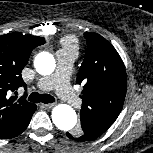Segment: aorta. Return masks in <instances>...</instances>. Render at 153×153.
<instances>
[{"label":"aorta","instance_id":"762f6f07","mask_svg":"<svg viewBox=\"0 0 153 153\" xmlns=\"http://www.w3.org/2000/svg\"><path fill=\"white\" fill-rule=\"evenodd\" d=\"M34 66L39 74L50 75L55 70V59L52 54L41 52L36 56ZM52 121L58 129L69 131L76 125L77 115L69 105L59 104L52 110Z\"/></svg>","mask_w":153,"mask_h":153}]
</instances>
